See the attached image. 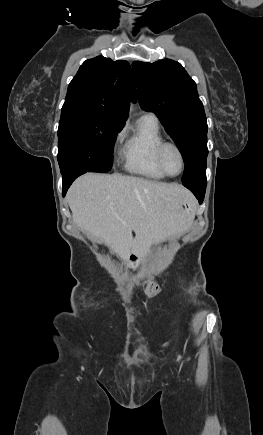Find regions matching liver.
<instances>
[{"instance_id":"6515ba94","label":"liver","mask_w":263,"mask_h":435,"mask_svg":"<svg viewBox=\"0 0 263 435\" xmlns=\"http://www.w3.org/2000/svg\"><path fill=\"white\" fill-rule=\"evenodd\" d=\"M67 200L77 226L125 261L180 236L192 219L181 207L189 200L181 185L132 176L85 174L72 184Z\"/></svg>"}]
</instances>
